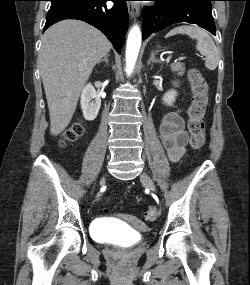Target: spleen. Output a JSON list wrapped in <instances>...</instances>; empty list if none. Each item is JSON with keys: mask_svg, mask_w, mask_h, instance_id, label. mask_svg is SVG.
Instances as JSON below:
<instances>
[{"mask_svg": "<svg viewBox=\"0 0 250 285\" xmlns=\"http://www.w3.org/2000/svg\"><path fill=\"white\" fill-rule=\"evenodd\" d=\"M176 34H186L190 38L196 39L197 50L205 56V67L209 70L217 68L219 52L214 41L206 31L195 26H179L168 32L165 37L168 38Z\"/></svg>", "mask_w": 250, "mask_h": 285, "instance_id": "1", "label": "spleen"}]
</instances>
